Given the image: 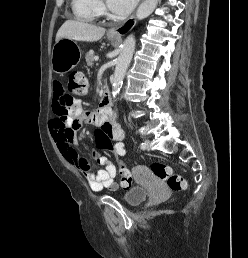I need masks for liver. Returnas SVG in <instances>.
Here are the masks:
<instances>
[{
  "mask_svg": "<svg viewBox=\"0 0 248 258\" xmlns=\"http://www.w3.org/2000/svg\"><path fill=\"white\" fill-rule=\"evenodd\" d=\"M105 29L87 23L74 20H67L60 27L56 34V42L62 38L76 41L95 42L100 40L105 34Z\"/></svg>",
  "mask_w": 248,
  "mask_h": 258,
  "instance_id": "obj_1",
  "label": "liver"
}]
</instances>
